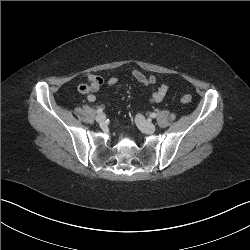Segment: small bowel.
<instances>
[{"mask_svg": "<svg viewBox=\"0 0 250 250\" xmlns=\"http://www.w3.org/2000/svg\"><path fill=\"white\" fill-rule=\"evenodd\" d=\"M132 76L135 79V81L144 87L151 88V96H150V102L151 103H159L163 101V99L166 97L168 93V86L166 84H161L157 86L159 83V80L155 76H146L139 70H133ZM118 82V78L116 76L110 77L106 81V85L108 87H113ZM99 85H95L89 88L84 89V84L80 85V91L85 93L87 95V99L90 102H94L96 100L95 92L99 89Z\"/></svg>", "mask_w": 250, "mask_h": 250, "instance_id": "obj_1", "label": "small bowel"}]
</instances>
